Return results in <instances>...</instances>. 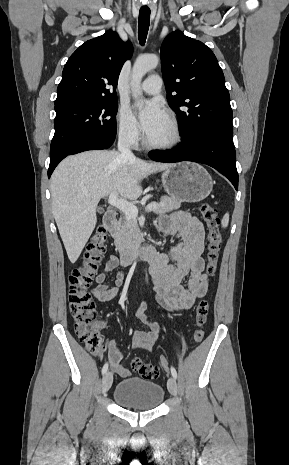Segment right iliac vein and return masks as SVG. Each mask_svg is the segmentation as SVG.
I'll use <instances>...</instances> for the list:
<instances>
[{
	"mask_svg": "<svg viewBox=\"0 0 289 465\" xmlns=\"http://www.w3.org/2000/svg\"><path fill=\"white\" fill-rule=\"evenodd\" d=\"M112 382H113V375L111 372H106L103 379H102V392L103 393H106L111 385H112Z\"/></svg>",
	"mask_w": 289,
	"mask_h": 465,
	"instance_id": "right-iliac-vein-1",
	"label": "right iliac vein"
}]
</instances>
